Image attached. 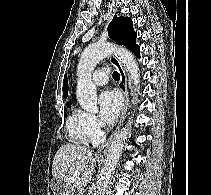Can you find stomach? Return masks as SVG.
Wrapping results in <instances>:
<instances>
[{
	"label": "stomach",
	"mask_w": 211,
	"mask_h": 195,
	"mask_svg": "<svg viewBox=\"0 0 211 195\" xmlns=\"http://www.w3.org/2000/svg\"><path fill=\"white\" fill-rule=\"evenodd\" d=\"M55 183H56V188L59 190V188H61L62 187V182L60 181V180H57V181H54ZM53 182V183H54ZM60 195V194H59Z\"/></svg>",
	"instance_id": "1"
}]
</instances>
